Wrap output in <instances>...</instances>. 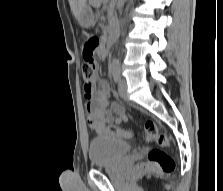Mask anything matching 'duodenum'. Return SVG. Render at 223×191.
I'll return each instance as SVG.
<instances>
[{
	"label": "duodenum",
	"mask_w": 223,
	"mask_h": 191,
	"mask_svg": "<svg viewBox=\"0 0 223 191\" xmlns=\"http://www.w3.org/2000/svg\"><path fill=\"white\" fill-rule=\"evenodd\" d=\"M117 33H118V27L115 23H112L111 27L108 30V35L105 40V44L107 48L112 45V43L114 42L117 36Z\"/></svg>",
	"instance_id": "duodenum-1"
}]
</instances>
